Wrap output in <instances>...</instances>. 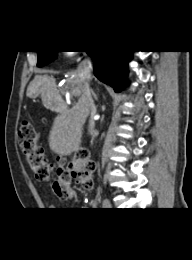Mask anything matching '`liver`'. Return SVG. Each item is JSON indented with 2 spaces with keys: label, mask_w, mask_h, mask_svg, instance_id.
Returning a JSON list of instances; mask_svg holds the SVG:
<instances>
[{
  "label": "liver",
  "mask_w": 192,
  "mask_h": 260,
  "mask_svg": "<svg viewBox=\"0 0 192 260\" xmlns=\"http://www.w3.org/2000/svg\"><path fill=\"white\" fill-rule=\"evenodd\" d=\"M67 76L64 89L80 98L70 111L60 112L56 116L50 130L49 147L60 156L70 155L80 149L83 125L90 113L79 73L72 71ZM39 94L44 100L57 101L59 99V92L53 77L49 75L35 76L28 86L27 96L35 98Z\"/></svg>",
  "instance_id": "1"
}]
</instances>
